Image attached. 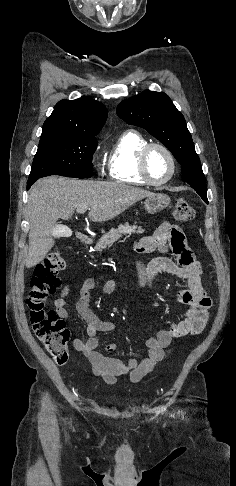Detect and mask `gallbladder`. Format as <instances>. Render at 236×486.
<instances>
[{
    "instance_id": "1",
    "label": "gallbladder",
    "mask_w": 236,
    "mask_h": 486,
    "mask_svg": "<svg viewBox=\"0 0 236 486\" xmlns=\"http://www.w3.org/2000/svg\"><path fill=\"white\" fill-rule=\"evenodd\" d=\"M64 229H65V227H64V226H62V225H57V226L55 227V230L57 231V233H58L57 235H58V236H62V233H63V232H62V230H64Z\"/></svg>"
}]
</instances>
